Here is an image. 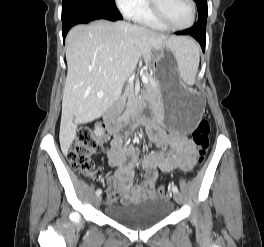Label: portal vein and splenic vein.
I'll return each mask as SVG.
<instances>
[{
	"instance_id": "18ae733b",
	"label": "portal vein and splenic vein",
	"mask_w": 264,
	"mask_h": 247,
	"mask_svg": "<svg viewBox=\"0 0 264 247\" xmlns=\"http://www.w3.org/2000/svg\"><path fill=\"white\" fill-rule=\"evenodd\" d=\"M134 79H135V76H132V77H130L129 79H128V83H132L133 81H134ZM141 79H142V82L143 83H148V78L146 77V76H142L141 77ZM103 96H104V94L103 93H97V97L98 98H103Z\"/></svg>"
}]
</instances>
